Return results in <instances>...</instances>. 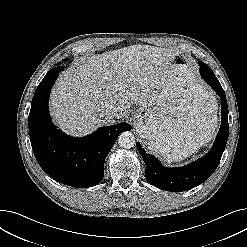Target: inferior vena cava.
<instances>
[{"mask_svg": "<svg viewBox=\"0 0 247 247\" xmlns=\"http://www.w3.org/2000/svg\"><path fill=\"white\" fill-rule=\"evenodd\" d=\"M101 116L106 120H110V119L118 117L119 116V112H118V109L115 106L107 105L103 109V111L101 113Z\"/></svg>", "mask_w": 247, "mask_h": 247, "instance_id": "1", "label": "inferior vena cava"}]
</instances>
